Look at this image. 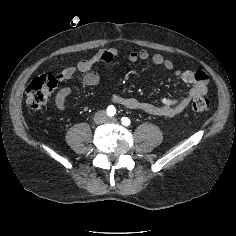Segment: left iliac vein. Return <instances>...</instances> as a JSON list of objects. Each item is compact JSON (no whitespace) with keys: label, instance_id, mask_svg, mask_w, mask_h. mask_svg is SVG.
<instances>
[{"label":"left iliac vein","instance_id":"left-iliac-vein-1","mask_svg":"<svg viewBox=\"0 0 236 236\" xmlns=\"http://www.w3.org/2000/svg\"><path fill=\"white\" fill-rule=\"evenodd\" d=\"M108 121L109 122H112V123H116L117 122V119L115 117L113 118H108Z\"/></svg>","mask_w":236,"mask_h":236}]
</instances>
